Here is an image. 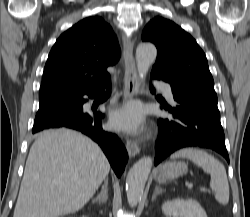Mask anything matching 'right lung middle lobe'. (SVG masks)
Wrapping results in <instances>:
<instances>
[{
	"label": "right lung middle lobe",
	"mask_w": 250,
	"mask_h": 217,
	"mask_svg": "<svg viewBox=\"0 0 250 217\" xmlns=\"http://www.w3.org/2000/svg\"><path fill=\"white\" fill-rule=\"evenodd\" d=\"M77 103L73 99L57 101L45 106H39L34 126L38 123L63 112H71L77 109Z\"/></svg>",
	"instance_id": "1"
}]
</instances>
